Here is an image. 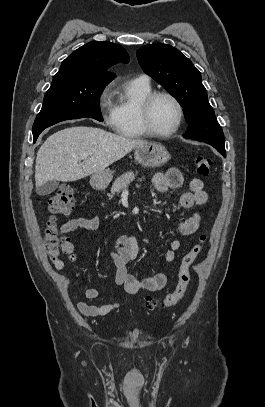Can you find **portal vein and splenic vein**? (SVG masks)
<instances>
[{
	"instance_id": "obj_1",
	"label": "portal vein and splenic vein",
	"mask_w": 265,
	"mask_h": 407,
	"mask_svg": "<svg viewBox=\"0 0 265 407\" xmlns=\"http://www.w3.org/2000/svg\"><path fill=\"white\" fill-rule=\"evenodd\" d=\"M87 157H88V155H86V154L81 155V159H87Z\"/></svg>"
}]
</instances>
